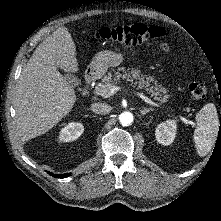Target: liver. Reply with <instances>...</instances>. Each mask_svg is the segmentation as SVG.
I'll list each match as a JSON object with an SVG mask.
<instances>
[{"label": "liver", "mask_w": 221, "mask_h": 221, "mask_svg": "<svg viewBox=\"0 0 221 221\" xmlns=\"http://www.w3.org/2000/svg\"><path fill=\"white\" fill-rule=\"evenodd\" d=\"M58 68L78 72L76 46L66 27L38 45L20 75L14 102L17 131L24 141L47 132L74 106L75 91Z\"/></svg>", "instance_id": "6515ba94"}]
</instances>
